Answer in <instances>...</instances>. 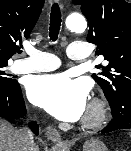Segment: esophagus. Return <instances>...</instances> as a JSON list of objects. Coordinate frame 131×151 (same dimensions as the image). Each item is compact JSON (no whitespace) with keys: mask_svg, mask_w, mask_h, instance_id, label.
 <instances>
[{"mask_svg":"<svg viewBox=\"0 0 131 151\" xmlns=\"http://www.w3.org/2000/svg\"><path fill=\"white\" fill-rule=\"evenodd\" d=\"M59 1V0H56ZM47 137L54 143H61V136L59 132L52 126H47L45 128Z\"/></svg>","mask_w":131,"mask_h":151,"instance_id":"esophagus-1","label":"esophagus"}]
</instances>
